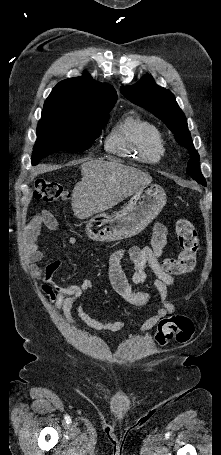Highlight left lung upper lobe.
I'll list each match as a JSON object with an SVG mask.
<instances>
[{
  "label": "left lung upper lobe",
  "mask_w": 221,
  "mask_h": 455,
  "mask_svg": "<svg viewBox=\"0 0 221 455\" xmlns=\"http://www.w3.org/2000/svg\"><path fill=\"white\" fill-rule=\"evenodd\" d=\"M121 92L131 102L150 111L167 125L191 155L187 172L197 182L205 185V179L199 170V155L193 146L187 120L173 93L157 85L150 74H146L133 86H122Z\"/></svg>",
  "instance_id": "obj_1"
}]
</instances>
